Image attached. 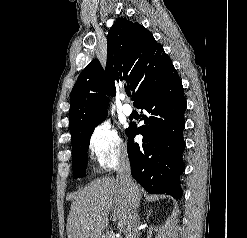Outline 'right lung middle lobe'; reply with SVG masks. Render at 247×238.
Returning <instances> with one entry per match:
<instances>
[{"instance_id":"dd1d6c3e","label":"right lung middle lobe","mask_w":247,"mask_h":238,"mask_svg":"<svg viewBox=\"0 0 247 238\" xmlns=\"http://www.w3.org/2000/svg\"><path fill=\"white\" fill-rule=\"evenodd\" d=\"M94 128H92L88 133H86L75 144L72 145V164L73 174L75 178H82L85 175L87 163V150L89 146L90 136Z\"/></svg>"}]
</instances>
